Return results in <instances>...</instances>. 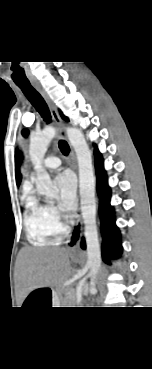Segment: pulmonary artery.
<instances>
[{
	"mask_svg": "<svg viewBox=\"0 0 152 369\" xmlns=\"http://www.w3.org/2000/svg\"><path fill=\"white\" fill-rule=\"evenodd\" d=\"M61 164V161L58 157L56 156H48L44 161H43V166L46 169L49 170H53V169H57Z\"/></svg>",
	"mask_w": 152,
	"mask_h": 369,
	"instance_id": "1",
	"label": "pulmonary artery"
}]
</instances>
